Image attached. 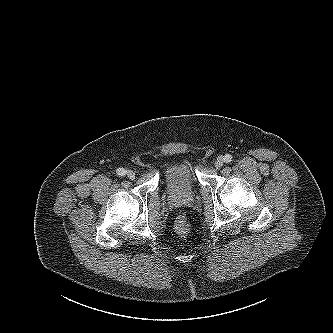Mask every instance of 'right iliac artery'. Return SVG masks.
<instances>
[{
    "instance_id": "82829eb1",
    "label": "right iliac artery",
    "mask_w": 333,
    "mask_h": 333,
    "mask_svg": "<svg viewBox=\"0 0 333 333\" xmlns=\"http://www.w3.org/2000/svg\"><path fill=\"white\" fill-rule=\"evenodd\" d=\"M116 172L120 176H124L126 174V170L124 168H118Z\"/></svg>"
}]
</instances>
